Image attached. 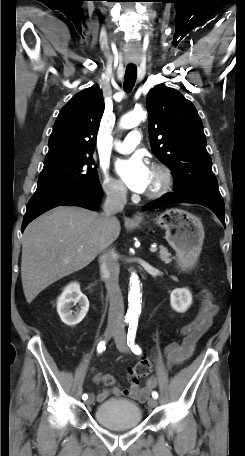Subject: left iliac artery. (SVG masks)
Instances as JSON below:
<instances>
[{
	"label": "left iliac artery",
	"mask_w": 245,
	"mask_h": 456,
	"mask_svg": "<svg viewBox=\"0 0 245 456\" xmlns=\"http://www.w3.org/2000/svg\"><path fill=\"white\" fill-rule=\"evenodd\" d=\"M137 324H138V322H135V321L130 322V325L128 328V334H127V343L134 354L140 355L142 353V350L137 344H135ZM152 397L157 399L158 393L156 391H153Z\"/></svg>",
	"instance_id": "1"
}]
</instances>
